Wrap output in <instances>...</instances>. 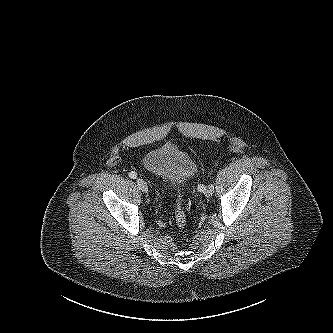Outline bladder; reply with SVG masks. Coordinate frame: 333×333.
Listing matches in <instances>:
<instances>
[{
    "instance_id": "obj_1",
    "label": "bladder",
    "mask_w": 333,
    "mask_h": 333,
    "mask_svg": "<svg viewBox=\"0 0 333 333\" xmlns=\"http://www.w3.org/2000/svg\"><path fill=\"white\" fill-rule=\"evenodd\" d=\"M142 163L146 171L178 187L185 186L197 171L195 160L174 145L149 151Z\"/></svg>"
}]
</instances>
